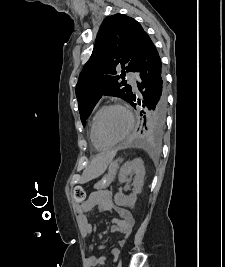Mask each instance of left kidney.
<instances>
[{"instance_id": "obj_1", "label": "left kidney", "mask_w": 225, "mask_h": 267, "mask_svg": "<svg viewBox=\"0 0 225 267\" xmlns=\"http://www.w3.org/2000/svg\"><path fill=\"white\" fill-rule=\"evenodd\" d=\"M130 174H135L133 194L129 196H125L121 193L115 194L114 202L118 206H133L136 202L137 194L142 191L145 176V167L142 159L137 158L124 163L119 171V182L121 183L126 180Z\"/></svg>"}]
</instances>
